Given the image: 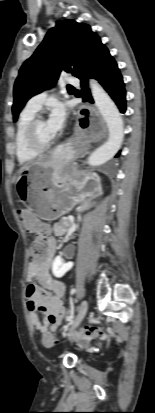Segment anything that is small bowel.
Returning a JSON list of instances; mask_svg holds the SVG:
<instances>
[{
	"mask_svg": "<svg viewBox=\"0 0 155 413\" xmlns=\"http://www.w3.org/2000/svg\"><path fill=\"white\" fill-rule=\"evenodd\" d=\"M17 216L23 218V226L27 227L28 231H37L46 240L45 260L42 262L33 260L28 265L27 281L37 279L38 284L29 283L26 288V298L33 326L42 334L53 332L66 318V308L62 300L66 291L65 284L54 278L49 271L55 252V240L49 236L46 219L33 217L31 209H19ZM40 313L43 314L42 319Z\"/></svg>",
	"mask_w": 155,
	"mask_h": 413,
	"instance_id": "obj_1",
	"label": "small bowel"
}]
</instances>
